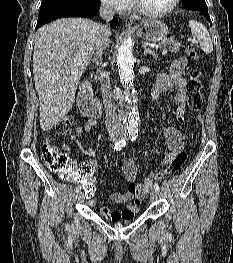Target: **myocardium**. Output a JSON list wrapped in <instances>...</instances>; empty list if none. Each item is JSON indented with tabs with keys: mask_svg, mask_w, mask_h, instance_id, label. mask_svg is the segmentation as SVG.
<instances>
[{
	"mask_svg": "<svg viewBox=\"0 0 233 263\" xmlns=\"http://www.w3.org/2000/svg\"><path fill=\"white\" fill-rule=\"evenodd\" d=\"M180 0H172L170 6L162 11H157V12H153V11H148L146 9H144L137 0H132L133 3V8L135 11H137L139 14L146 16V17H150V18H160V17H164L170 13H172L176 7L178 6Z\"/></svg>",
	"mask_w": 233,
	"mask_h": 263,
	"instance_id": "1",
	"label": "myocardium"
}]
</instances>
